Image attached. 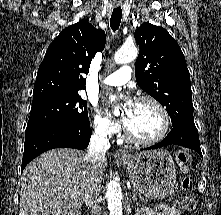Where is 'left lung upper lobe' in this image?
<instances>
[{
	"label": "left lung upper lobe",
	"mask_w": 221,
	"mask_h": 215,
	"mask_svg": "<svg viewBox=\"0 0 221 215\" xmlns=\"http://www.w3.org/2000/svg\"><path fill=\"white\" fill-rule=\"evenodd\" d=\"M134 37L140 48L135 64L139 87L166 107L173 127L195 126L190 74L176 40L149 22Z\"/></svg>",
	"instance_id": "5c2ea615"
}]
</instances>
